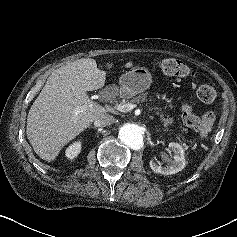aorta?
Listing matches in <instances>:
<instances>
[{
    "label": "aorta",
    "instance_id": "aorta-1",
    "mask_svg": "<svg viewBox=\"0 0 237 237\" xmlns=\"http://www.w3.org/2000/svg\"><path fill=\"white\" fill-rule=\"evenodd\" d=\"M119 139L132 149H139L143 144L142 129L136 124H125L118 132Z\"/></svg>",
    "mask_w": 237,
    "mask_h": 237
}]
</instances>
